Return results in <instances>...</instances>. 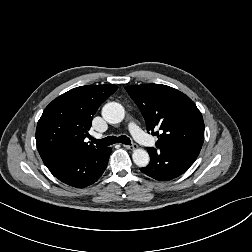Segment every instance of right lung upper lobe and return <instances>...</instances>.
Returning a JSON list of instances; mask_svg holds the SVG:
<instances>
[{"mask_svg": "<svg viewBox=\"0 0 252 252\" xmlns=\"http://www.w3.org/2000/svg\"><path fill=\"white\" fill-rule=\"evenodd\" d=\"M116 85H86L54 99L43 111L36 128L38 152L46 166L78 152L107 147L84 141L99 106L117 90Z\"/></svg>", "mask_w": 252, "mask_h": 252, "instance_id": "right-lung-upper-lobe-1", "label": "right lung upper lobe"}]
</instances>
